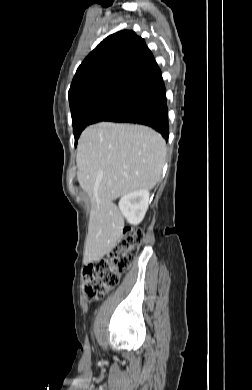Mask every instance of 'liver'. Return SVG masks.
<instances>
[{
  "mask_svg": "<svg viewBox=\"0 0 252 390\" xmlns=\"http://www.w3.org/2000/svg\"><path fill=\"white\" fill-rule=\"evenodd\" d=\"M166 157L162 136L141 125L101 122L81 134L77 179L91 200L84 262L101 259L123 235L124 218L113 200L159 181Z\"/></svg>",
  "mask_w": 252,
  "mask_h": 390,
  "instance_id": "liver-1",
  "label": "liver"
}]
</instances>
